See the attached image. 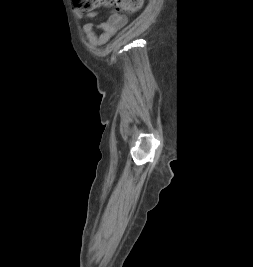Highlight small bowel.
<instances>
[{
  "label": "small bowel",
  "instance_id": "obj_1",
  "mask_svg": "<svg viewBox=\"0 0 253 267\" xmlns=\"http://www.w3.org/2000/svg\"><path fill=\"white\" fill-rule=\"evenodd\" d=\"M93 16V14H89ZM127 23L125 15L112 13L101 23L89 22L84 25V32L91 46L99 47L107 43Z\"/></svg>",
  "mask_w": 253,
  "mask_h": 267
}]
</instances>
